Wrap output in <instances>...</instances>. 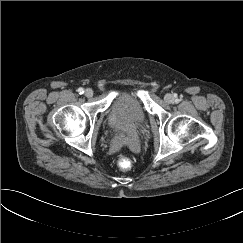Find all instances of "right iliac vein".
I'll return each mask as SVG.
<instances>
[{"mask_svg":"<svg viewBox=\"0 0 243 243\" xmlns=\"http://www.w3.org/2000/svg\"><path fill=\"white\" fill-rule=\"evenodd\" d=\"M86 97H92L93 96V90L88 88L85 90V94H84Z\"/></svg>","mask_w":243,"mask_h":243,"instance_id":"63e3f726","label":"right iliac vein"}]
</instances>
